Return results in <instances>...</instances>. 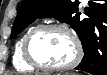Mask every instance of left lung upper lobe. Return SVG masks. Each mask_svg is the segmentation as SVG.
<instances>
[{
    "mask_svg": "<svg viewBox=\"0 0 107 75\" xmlns=\"http://www.w3.org/2000/svg\"><path fill=\"white\" fill-rule=\"evenodd\" d=\"M78 5V0H23L14 21L11 38L19 34L37 17H54L61 22L68 23L81 38L92 19L87 12L85 13L86 16H82L78 12ZM106 25V22H99L96 27V35L101 40L107 39Z\"/></svg>",
    "mask_w": 107,
    "mask_h": 75,
    "instance_id": "obj_1",
    "label": "left lung upper lobe"
}]
</instances>
